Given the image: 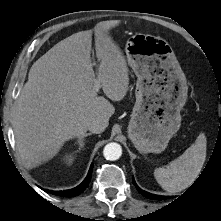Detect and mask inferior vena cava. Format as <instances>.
Masks as SVG:
<instances>
[{"mask_svg":"<svg viewBox=\"0 0 221 221\" xmlns=\"http://www.w3.org/2000/svg\"><path fill=\"white\" fill-rule=\"evenodd\" d=\"M106 128V125L103 121L100 120H94L88 125V130L91 133L100 134L104 131Z\"/></svg>","mask_w":221,"mask_h":221,"instance_id":"602c4592","label":"inferior vena cava"}]
</instances>
